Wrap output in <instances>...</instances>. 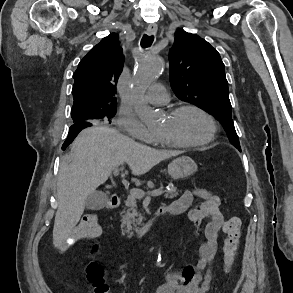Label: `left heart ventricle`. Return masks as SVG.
Wrapping results in <instances>:
<instances>
[{"label":"left heart ventricle","mask_w":293,"mask_h":293,"mask_svg":"<svg viewBox=\"0 0 293 293\" xmlns=\"http://www.w3.org/2000/svg\"><path fill=\"white\" fill-rule=\"evenodd\" d=\"M157 132L184 142H198L207 137L209 123L201 114L185 111L176 117L166 116Z\"/></svg>","instance_id":"obj_1"}]
</instances>
